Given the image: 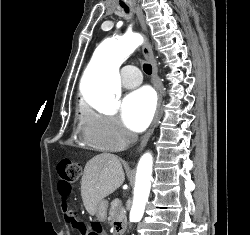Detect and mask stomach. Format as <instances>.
Returning a JSON list of instances; mask_svg holds the SVG:
<instances>
[{"label": "stomach", "instance_id": "0dacf381", "mask_svg": "<svg viewBox=\"0 0 250 235\" xmlns=\"http://www.w3.org/2000/svg\"><path fill=\"white\" fill-rule=\"evenodd\" d=\"M107 206L108 203L106 200H101L96 208V218L99 221H105L107 217Z\"/></svg>", "mask_w": 250, "mask_h": 235}]
</instances>
